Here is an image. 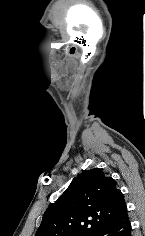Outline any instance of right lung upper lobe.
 <instances>
[{"label": "right lung upper lobe", "instance_id": "obj_1", "mask_svg": "<svg viewBox=\"0 0 145 236\" xmlns=\"http://www.w3.org/2000/svg\"><path fill=\"white\" fill-rule=\"evenodd\" d=\"M125 207L115 180L101 169H91L49 206L35 236H93Z\"/></svg>", "mask_w": 145, "mask_h": 236}]
</instances>
